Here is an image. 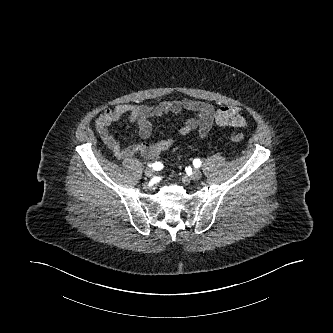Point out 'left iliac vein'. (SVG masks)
<instances>
[{
	"label": "left iliac vein",
	"instance_id": "left-iliac-vein-1",
	"mask_svg": "<svg viewBox=\"0 0 333 333\" xmlns=\"http://www.w3.org/2000/svg\"><path fill=\"white\" fill-rule=\"evenodd\" d=\"M202 177V174L199 170L194 169L190 175V178L194 181H198L200 180V178Z\"/></svg>",
	"mask_w": 333,
	"mask_h": 333
}]
</instances>
